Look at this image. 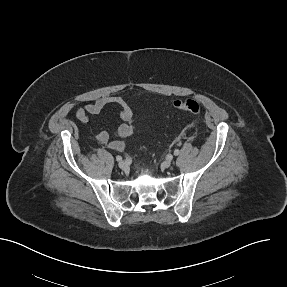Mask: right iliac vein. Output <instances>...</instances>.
Wrapping results in <instances>:
<instances>
[{"label":"right iliac vein","mask_w":287,"mask_h":287,"mask_svg":"<svg viewBox=\"0 0 287 287\" xmlns=\"http://www.w3.org/2000/svg\"><path fill=\"white\" fill-rule=\"evenodd\" d=\"M118 165L122 170L128 169V163L126 161H120Z\"/></svg>","instance_id":"1"}]
</instances>
